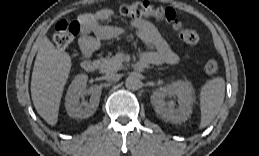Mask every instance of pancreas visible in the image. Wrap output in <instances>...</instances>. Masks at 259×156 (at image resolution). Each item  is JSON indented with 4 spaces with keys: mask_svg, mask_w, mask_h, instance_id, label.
<instances>
[{
    "mask_svg": "<svg viewBox=\"0 0 259 156\" xmlns=\"http://www.w3.org/2000/svg\"><path fill=\"white\" fill-rule=\"evenodd\" d=\"M99 67L102 73L116 72L123 67V60L116 56L107 57L99 60Z\"/></svg>",
    "mask_w": 259,
    "mask_h": 156,
    "instance_id": "obj_1",
    "label": "pancreas"
}]
</instances>
